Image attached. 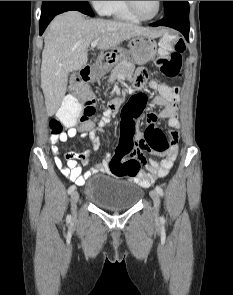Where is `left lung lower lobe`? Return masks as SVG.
<instances>
[{"label":"left lung lower lobe","mask_w":233,"mask_h":295,"mask_svg":"<svg viewBox=\"0 0 233 295\" xmlns=\"http://www.w3.org/2000/svg\"><path fill=\"white\" fill-rule=\"evenodd\" d=\"M153 27L167 26L180 31L189 39V5L179 7L177 10L167 14L162 20L150 24Z\"/></svg>","instance_id":"1"}]
</instances>
